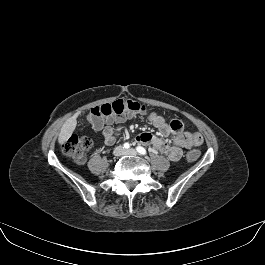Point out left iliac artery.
Returning a JSON list of instances; mask_svg holds the SVG:
<instances>
[{
	"mask_svg": "<svg viewBox=\"0 0 265 265\" xmlns=\"http://www.w3.org/2000/svg\"><path fill=\"white\" fill-rule=\"evenodd\" d=\"M136 150L138 151V153H140L142 155H146L147 154L146 150L143 147H141V146L136 147Z\"/></svg>",
	"mask_w": 265,
	"mask_h": 265,
	"instance_id": "1",
	"label": "left iliac artery"
}]
</instances>
